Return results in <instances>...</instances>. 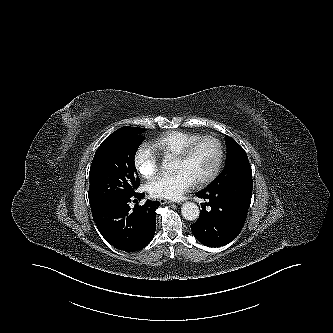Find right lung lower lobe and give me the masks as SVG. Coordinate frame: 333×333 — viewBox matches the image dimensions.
Instances as JSON below:
<instances>
[{"instance_id":"obj_1","label":"right lung lower lobe","mask_w":333,"mask_h":333,"mask_svg":"<svg viewBox=\"0 0 333 333\" xmlns=\"http://www.w3.org/2000/svg\"><path fill=\"white\" fill-rule=\"evenodd\" d=\"M144 196V193L134 192L91 207L99 232L115 248L132 252L152 240L156 229L155 211L160 203L147 200L142 206L129 207L131 198L140 200Z\"/></svg>"}]
</instances>
